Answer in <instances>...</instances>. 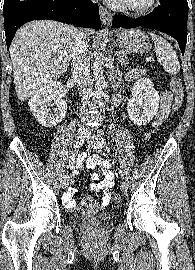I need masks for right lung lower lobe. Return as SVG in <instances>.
<instances>
[{
    "label": "right lung lower lobe",
    "instance_id": "right-lung-lower-lobe-1",
    "mask_svg": "<svg viewBox=\"0 0 195 270\" xmlns=\"http://www.w3.org/2000/svg\"><path fill=\"white\" fill-rule=\"evenodd\" d=\"M6 44L23 24L38 19H50L80 27L99 29V8L91 0H4Z\"/></svg>",
    "mask_w": 195,
    "mask_h": 270
}]
</instances>
